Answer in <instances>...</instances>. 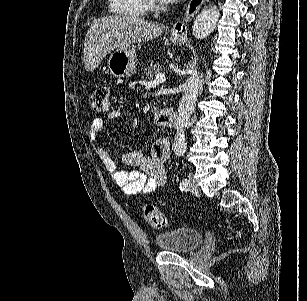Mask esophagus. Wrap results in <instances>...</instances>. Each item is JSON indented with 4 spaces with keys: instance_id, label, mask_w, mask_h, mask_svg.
<instances>
[{
    "instance_id": "34e87169",
    "label": "esophagus",
    "mask_w": 307,
    "mask_h": 301,
    "mask_svg": "<svg viewBox=\"0 0 307 301\" xmlns=\"http://www.w3.org/2000/svg\"><path fill=\"white\" fill-rule=\"evenodd\" d=\"M205 0H189L182 20H178L171 28V36L176 40H184L188 24L194 18Z\"/></svg>"
}]
</instances>
